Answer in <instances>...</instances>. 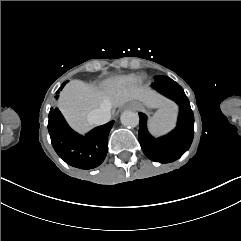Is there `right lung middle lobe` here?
<instances>
[{"label":"right lung middle lobe","mask_w":241,"mask_h":241,"mask_svg":"<svg viewBox=\"0 0 241 241\" xmlns=\"http://www.w3.org/2000/svg\"><path fill=\"white\" fill-rule=\"evenodd\" d=\"M66 83H67V82L63 83L62 86L60 87V89H59L57 92H59L60 90H62ZM58 97H59V96H57V98H58Z\"/></svg>","instance_id":"right-lung-middle-lobe-1"}]
</instances>
